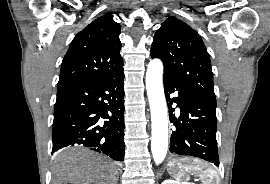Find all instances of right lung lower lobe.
I'll use <instances>...</instances> for the list:
<instances>
[{
  "instance_id": "1",
  "label": "right lung lower lobe",
  "mask_w": 270,
  "mask_h": 184,
  "mask_svg": "<svg viewBox=\"0 0 270 184\" xmlns=\"http://www.w3.org/2000/svg\"><path fill=\"white\" fill-rule=\"evenodd\" d=\"M124 109L123 70L105 79L58 89L52 153L79 144L123 161Z\"/></svg>"
}]
</instances>
